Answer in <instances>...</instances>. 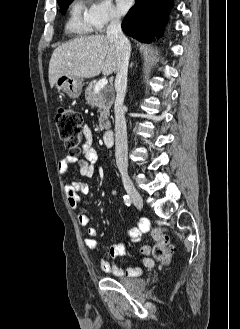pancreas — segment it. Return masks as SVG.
<instances>
[{
    "label": "pancreas",
    "instance_id": "obj_1",
    "mask_svg": "<svg viewBox=\"0 0 240 329\" xmlns=\"http://www.w3.org/2000/svg\"><path fill=\"white\" fill-rule=\"evenodd\" d=\"M95 83H90L85 90V99L87 104L92 107H98L100 113L99 117V128L100 130H107L110 128L109 114L110 108L113 103V96L111 93V88L104 87L98 93L94 91Z\"/></svg>",
    "mask_w": 240,
    "mask_h": 329
}]
</instances>
